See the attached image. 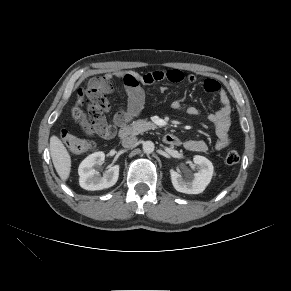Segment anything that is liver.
<instances>
[{
	"label": "liver",
	"mask_w": 291,
	"mask_h": 291,
	"mask_svg": "<svg viewBox=\"0 0 291 291\" xmlns=\"http://www.w3.org/2000/svg\"><path fill=\"white\" fill-rule=\"evenodd\" d=\"M50 154L58 175L66 181L71 171V157L62 141L55 135L50 138Z\"/></svg>",
	"instance_id": "1"
}]
</instances>
